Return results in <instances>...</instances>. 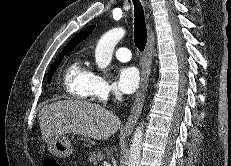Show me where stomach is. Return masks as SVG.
I'll return each mask as SVG.
<instances>
[{
    "mask_svg": "<svg viewBox=\"0 0 231 166\" xmlns=\"http://www.w3.org/2000/svg\"><path fill=\"white\" fill-rule=\"evenodd\" d=\"M48 150L59 158H66L72 154V146L67 137L53 136L48 139Z\"/></svg>",
    "mask_w": 231,
    "mask_h": 166,
    "instance_id": "stomach-1",
    "label": "stomach"
}]
</instances>
